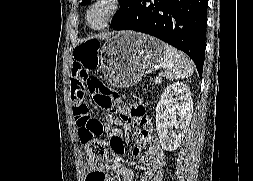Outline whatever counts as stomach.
Returning <instances> with one entry per match:
<instances>
[{"mask_svg": "<svg viewBox=\"0 0 253 181\" xmlns=\"http://www.w3.org/2000/svg\"><path fill=\"white\" fill-rule=\"evenodd\" d=\"M163 42L133 31H122L106 40L101 49L100 68L112 87H130L142 76L162 67Z\"/></svg>", "mask_w": 253, "mask_h": 181, "instance_id": "1", "label": "stomach"}]
</instances>
